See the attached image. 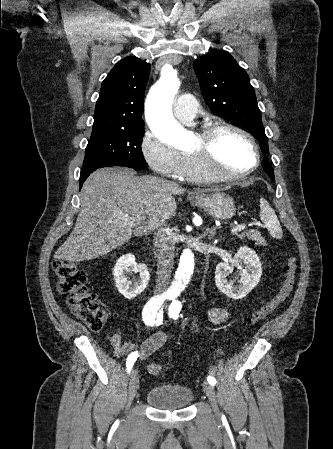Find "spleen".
Segmentation results:
<instances>
[{"label": "spleen", "mask_w": 333, "mask_h": 449, "mask_svg": "<svg viewBox=\"0 0 333 449\" xmlns=\"http://www.w3.org/2000/svg\"><path fill=\"white\" fill-rule=\"evenodd\" d=\"M260 218L274 238H282L283 232L280 226V222L275 214V211L271 208L268 201L264 198L260 199Z\"/></svg>", "instance_id": "obj_1"}]
</instances>
